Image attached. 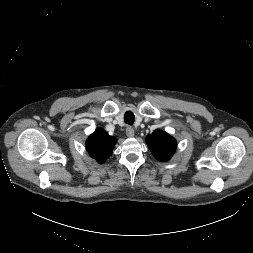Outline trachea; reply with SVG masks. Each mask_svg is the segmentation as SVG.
Instances as JSON below:
<instances>
[{"label":"trachea","instance_id":"trachea-1","mask_svg":"<svg viewBox=\"0 0 253 253\" xmlns=\"http://www.w3.org/2000/svg\"><path fill=\"white\" fill-rule=\"evenodd\" d=\"M124 121L128 125H133V123L135 121V115L131 111H127L124 114Z\"/></svg>","mask_w":253,"mask_h":253}]
</instances>
